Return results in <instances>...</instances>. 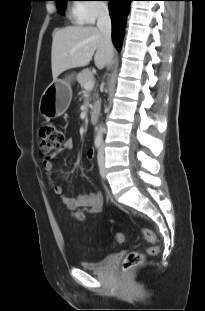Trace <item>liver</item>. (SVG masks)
<instances>
[{
	"instance_id": "liver-1",
	"label": "liver",
	"mask_w": 205,
	"mask_h": 311,
	"mask_svg": "<svg viewBox=\"0 0 205 311\" xmlns=\"http://www.w3.org/2000/svg\"><path fill=\"white\" fill-rule=\"evenodd\" d=\"M113 48L105 44L100 30L93 26H68L53 33L51 66L56 80L64 71L87 66L94 55V63L102 69L108 63Z\"/></svg>"
}]
</instances>
